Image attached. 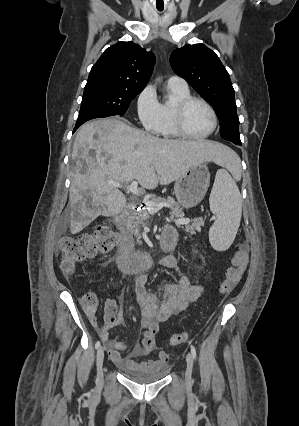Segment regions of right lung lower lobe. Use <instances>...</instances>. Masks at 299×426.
I'll return each mask as SVG.
<instances>
[{
    "mask_svg": "<svg viewBox=\"0 0 299 426\" xmlns=\"http://www.w3.org/2000/svg\"><path fill=\"white\" fill-rule=\"evenodd\" d=\"M110 115L108 114H104V113H99V112H89L86 113L84 115L78 116L74 131L75 132L84 122L90 120V119H94V118H101V117H108Z\"/></svg>",
    "mask_w": 299,
    "mask_h": 426,
    "instance_id": "right-lung-lower-lobe-1",
    "label": "right lung lower lobe"
}]
</instances>
